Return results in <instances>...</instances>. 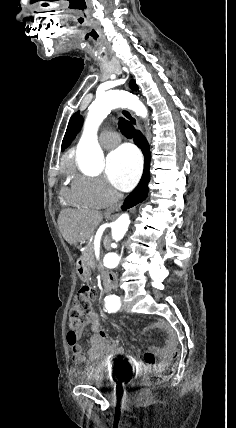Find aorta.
<instances>
[{
	"label": "aorta",
	"mask_w": 236,
	"mask_h": 428,
	"mask_svg": "<svg viewBox=\"0 0 236 428\" xmlns=\"http://www.w3.org/2000/svg\"><path fill=\"white\" fill-rule=\"evenodd\" d=\"M119 107H127L142 117L147 116L144 104L136 96L126 91H108L97 95L88 108L83 133L77 146V160L80 166L88 172H97L102 168L104 156L98 143L97 130L111 110ZM129 224L130 218L126 213L111 223L112 238L116 242L124 237ZM120 260L121 258L116 252H108L104 256L103 262L107 268H115L119 265Z\"/></svg>",
	"instance_id": "obj_1"
}]
</instances>
